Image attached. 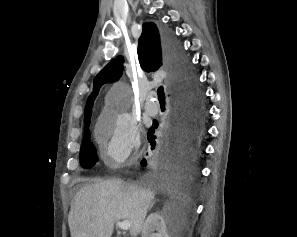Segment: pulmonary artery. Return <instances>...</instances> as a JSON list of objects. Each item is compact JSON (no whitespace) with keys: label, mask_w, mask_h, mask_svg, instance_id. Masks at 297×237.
Wrapping results in <instances>:
<instances>
[{"label":"pulmonary artery","mask_w":297,"mask_h":237,"mask_svg":"<svg viewBox=\"0 0 297 237\" xmlns=\"http://www.w3.org/2000/svg\"><path fill=\"white\" fill-rule=\"evenodd\" d=\"M145 111L150 115H156L159 111V105L152 100V95L145 102Z\"/></svg>","instance_id":"obj_1"}]
</instances>
